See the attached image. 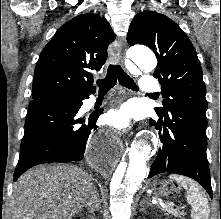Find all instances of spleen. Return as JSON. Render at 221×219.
I'll return each instance as SVG.
<instances>
[{"label":"spleen","mask_w":221,"mask_h":219,"mask_svg":"<svg viewBox=\"0 0 221 219\" xmlns=\"http://www.w3.org/2000/svg\"><path fill=\"white\" fill-rule=\"evenodd\" d=\"M172 180L180 183L187 191V202L191 205V216L193 219H208L210 208L208 199L200 186L193 180L180 175H170Z\"/></svg>","instance_id":"spleen-1"}]
</instances>
